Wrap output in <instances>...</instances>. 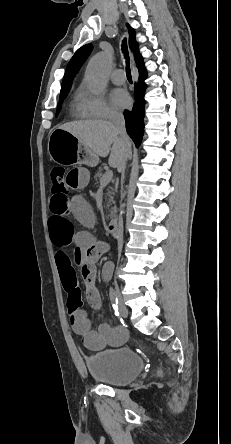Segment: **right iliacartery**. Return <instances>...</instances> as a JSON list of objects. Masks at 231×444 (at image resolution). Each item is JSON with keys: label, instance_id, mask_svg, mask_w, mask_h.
<instances>
[{"label": "right iliac artery", "instance_id": "1", "mask_svg": "<svg viewBox=\"0 0 231 444\" xmlns=\"http://www.w3.org/2000/svg\"><path fill=\"white\" fill-rule=\"evenodd\" d=\"M109 296H110V301L112 303L113 309L115 311V315L119 316V312H118V298H117L116 293H115L113 288H110Z\"/></svg>", "mask_w": 231, "mask_h": 444}]
</instances>
